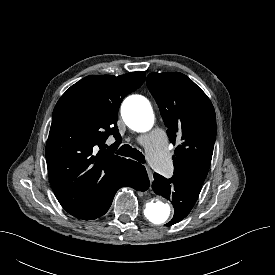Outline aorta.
Segmentation results:
<instances>
[{
  "instance_id": "1",
  "label": "aorta",
  "mask_w": 275,
  "mask_h": 275,
  "mask_svg": "<svg viewBox=\"0 0 275 275\" xmlns=\"http://www.w3.org/2000/svg\"><path fill=\"white\" fill-rule=\"evenodd\" d=\"M121 114L125 123L138 132L151 129L155 120L151 103L140 95H133L125 99ZM144 215L151 224L162 226L170 220L172 208L168 203L157 200L146 205Z\"/></svg>"
}]
</instances>
